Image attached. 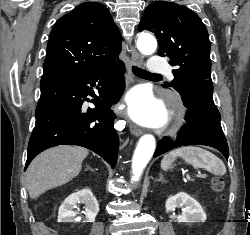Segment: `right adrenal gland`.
Segmentation results:
<instances>
[{
    "label": "right adrenal gland",
    "mask_w": 250,
    "mask_h": 235,
    "mask_svg": "<svg viewBox=\"0 0 250 235\" xmlns=\"http://www.w3.org/2000/svg\"><path fill=\"white\" fill-rule=\"evenodd\" d=\"M86 170H91V171H95L94 169H92L90 166L87 165Z\"/></svg>",
    "instance_id": "obj_1"
}]
</instances>
